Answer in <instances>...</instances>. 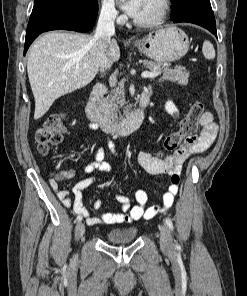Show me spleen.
Instances as JSON below:
<instances>
[{
    "label": "spleen",
    "mask_w": 247,
    "mask_h": 296,
    "mask_svg": "<svg viewBox=\"0 0 247 296\" xmlns=\"http://www.w3.org/2000/svg\"><path fill=\"white\" fill-rule=\"evenodd\" d=\"M203 55L206 59L211 60L215 58V50L213 45L209 41H204L202 47Z\"/></svg>",
    "instance_id": "spleen-1"
}]
</instances>
